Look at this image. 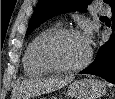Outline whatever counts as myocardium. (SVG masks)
I'll return each mask as SVG.
<instances>
[{"mask_svg": "<svg viewBox=\"0 0 115 99\" xmlns=\"http://www.w3.org/2000/svg\"><path fill=\"white\" fill-rule=\"evenodd\" d=\"M70 35H79L82 34L73 28H59L50 34H48L40 43L38 48V56L40 61L43 63L45 67H47L50 71L60 72V73H68V72H76L85 68L91 61L92 58V50L88 45V52L85 59L74 66H63L58 64L52 57L51 47L52 45L58 41L59 39L70 36Z\"/></svg>", "mask_w": 115, "mask_h": 99, "instance_id": "obj_1", "label": "myocardium"}]
</instances>
